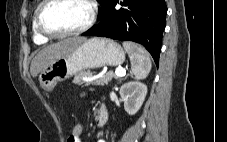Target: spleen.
I'll use <instances>...</instances> for the list:
<instances>
[{
    "label": "spleen",
    "instance_id": "3e777b00",
    "mask_svg": "<svg viewBox=\"0 0 227 142\" xmlns=\"http://www.w3.org/2000/svg\"><path fill=\"white\" fill-rule=\"evenodd\" d=\"M123 47L129 55L131 70L135 79H145L152 67L148 51L141 45L133 42H123Z\"/></svg>",
    "mask_w": 227,
    "mask_h": 142
}]
</instances>
